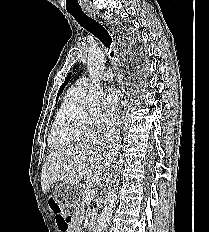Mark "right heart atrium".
Segmentation results:
<instances>
[{"instance_id": "right-heart-atrium-1", "label": "right heart atrium", "mask_w": 209, "mask_h": 232, "mask_svg": "<svg viewBox=\"0 0 209 232\" xmlns=\"http://www.w3.org/2000/svg\"><path fill=\"white\" fill-rule=\"evenodd\" d=\"M113 120V117L111 116H101L98 120H97V124L101 127L107 126L110 124V122Z\"/></svg>"}]
</instances>
